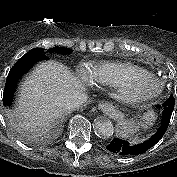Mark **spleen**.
I'll list each match as a JSON object with an SVG mask.
<instances>
[{
	"label": "spleen",
	"instance_id": "1",
	"mask_svg": "<svg viewBox=\"0 0 177 177\" xmlns=\"http://www.w3.org/2000/svg\"><path fill=\"white\" fill-rule=\"evenodd\" d=\"M142 127L147 129L149 126L153 124V121L155 120V114L153 111H148L144 113L142 117Z\"/></svg>",
	"mask_w": 177,
	"mask_h": 177
}]
</instances>
